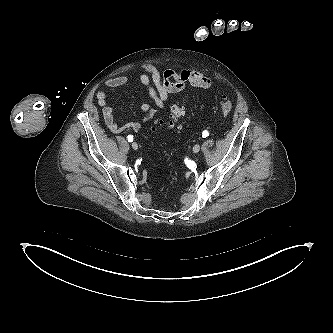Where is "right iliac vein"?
<instances>
[{"label":"right iliac vein","instance_id":"right-iliac-vein-1","mask_svg":"<svg viewBox=\"0 0 333 333\" xmlns=\"http://www.w3.org/2000/svg\"><path fill=\"white\" fill-rule=\"evenodd\" d=\"M131 146L134 150L138 149V144L136 142H132Z\"/></svg>","mask_w":333,"mask_h":333}]
</instances>
